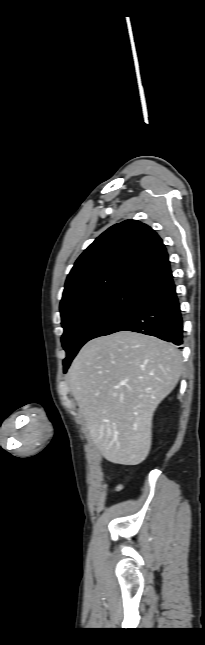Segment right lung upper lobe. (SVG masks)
Masks as SVG:
<instances>
[{
    "label": "right lung upper lobe",
    "mask_w": 205,
    "mask_h": 645,
    "mask_svg": "<svg viewBox=\"0 0 205 645\" xmlns=\"http://www.w3.org/2000/svg\"><path fill=\"white\" fill-rule=\"evenodd\" d=\"M169 270L166 248L152 228L136 220L115 224L75 262L65 283L60 310L76 300L124 284L145 287Z\"/></svg>",
    "instance_id": "1"
}]
</instances>
